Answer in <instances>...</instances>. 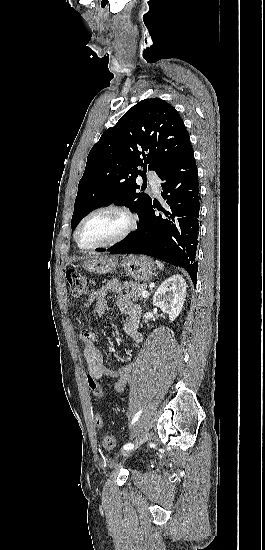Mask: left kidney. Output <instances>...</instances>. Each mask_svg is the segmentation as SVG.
Segmentation results:
<instances>
[{
    "mask_svg": "<svg viewBox=\"0 0 265 550\" xmlns=\"http://www.w3.org/2000/svg\"><path fill=\"white\" fill-rule=\"evenodd\" d=\"M186 282L181 275H173L158 287L153 296V305L169 315L173 322L182 311L186 297Z\"/></svg>",
    "mask_w": 265,
    "mask_h": 550,
    "instance_id": "left-kidney-1",
    "label": "left kidney"
}]
</instances>
